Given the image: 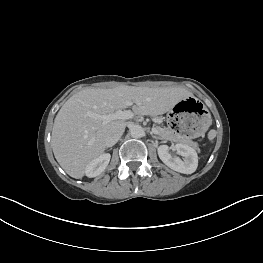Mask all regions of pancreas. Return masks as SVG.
<instances>
[{"label": "pancreas", "mask_w": 263, "mask_h": 263, "mask_svg": "<svg viewBox=\"0 0 263 263\" xmlns=\"http://www.w3.org/2000/svg\"><path fill=\"white\" fill-rule=\"evenodd\" d=\"M158 132H159V136L161 139H167V140H171V141H176V142H181V143H185L188 144L190 146H192L195 149H198V143L194 142L188 138L185 137H180L177 134L174 133V130H172L169 127H156Z\"/></svg>", "instance_id": "1"}]
</instances>
